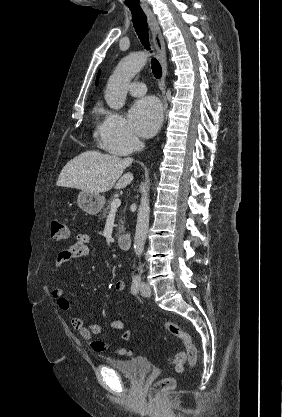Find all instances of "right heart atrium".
<instances>
[{
	"mask_svg": "<svg viewBox=\"0 0 282 417\" xmlns=\"http://www.w3.org/2000/svg\"><path fill=\"white\" fill-rule=\"evenodd\" d=\"M101 137L102 146L117 155H128L139 146V140L118 113L108 114L101 129Z\"/></svg>",
	"mask_w": 282,
	"mask_h": 417,
	"instance_id": "right-heart-atrium-1",
	"label": "right heart atrium"
}]
</instances>
